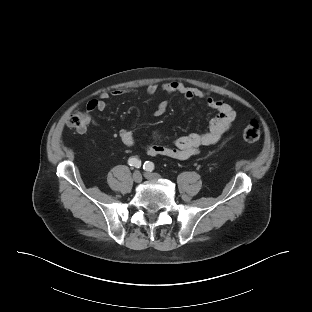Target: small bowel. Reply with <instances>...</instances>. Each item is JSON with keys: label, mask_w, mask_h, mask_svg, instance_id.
Instances as JSON below:
<instances>
[{"label": "small bowel", "mask_w": 312, "mask_h": 312, "mask_svg": "<svg viewBox=\"0 0 312 312\" xmlns=\"http://www.w3.org/2000/svg\"><path fill=\"white\" fill-rule=\"evenodd\" d=\"M159 89L169 95L179 94L185 100L202 99L209 108L217 112V115L211 120L207 132L179 137L175 139L171 145L163 144L160 134L154 132V142L147 145L145 148L146 153L150 156H165L177 160L193 157L197 155L203 147L217 143L235 120L236 115L233 108L225 101L217 99L207 90L188 87L179 81H169L160 86L156 83H151L147 86L146 92L148 95L152 96L156 94ZM127 93H135V90L117 89L109 93L103 92L98 99L89 101L86 109L89 113L93 111H104L107 107L108 100L112 97H121ZM167 107L168 101H162L156 108L154 115L157 117L163 115ZM119 137L126 146L136 145V139L132 128L121 129L119 131Z\"/></svg>", "instance_id": "small-bowel-1"}]
</instances>
